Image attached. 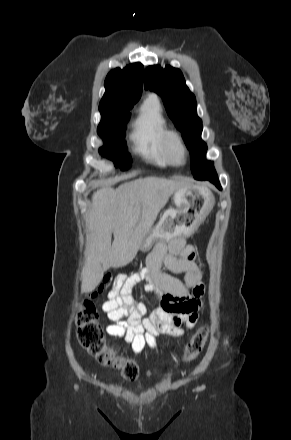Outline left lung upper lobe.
<instances>
[{
  "label": "left lung upper lobe",
  "mask_w": 291,
  "mask_h": 440,
  "mask_svg": "<svg viewBox=\"0 0 291 440\" xmlns=\"http://www.w3.org/2000/svg\"><path fill=\"white\" fill-rule=\"evenodd\" d=\"M145 89L156 92L163 99L169 117L181 131L190 150L194 178L205 180L215 176L213 162L206 161L207 146L201 139L202 121L197 116L195 96L186 86L183 74L171 66H149L146 69Z\"/></svg>",
  "instance_id": "left-lung-upper-lobe-1"
}]
</instances>
